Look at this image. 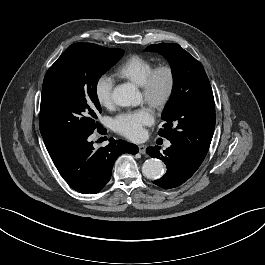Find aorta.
I'll return each mask as SVG.
<instances>
[{
  "instance_id": "762f6f07",
  "label": "aorta",
  "mask_w": 265,
  "mask_h": 265,
  "mask_svg": "<svg viewBox=\"0 0 265 265\" xmlns=\"http://www.w3.org/2000/svg\"><path fill=\"white\" fill-rule=\"evenodd\" d=\"M113 101L122 107L137 106L141 103V94L132 84L118 85L112 93ZM143 175L151 180L159 179L164 173L163 163L156 158L146 160L142 166Z\"/></svg>"
}]
</instances>
